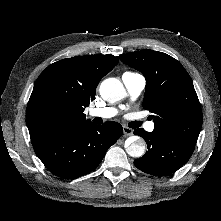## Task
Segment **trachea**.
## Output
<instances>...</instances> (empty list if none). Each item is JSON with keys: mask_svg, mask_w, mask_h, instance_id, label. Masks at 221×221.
Listing matches in <instances>:
<instances>
[{"mask_svg": "<svg viewBox=\"0 0 221 221\" xmlns=\"http://www.w3.org/2000/svg\"><path fill=\"white\" fill-rule=\"evenodd\" d=\"M141 124H142L141 121H133V122L129 123V127H131V128H138V127L141 126Z\"/></svg>", "mask_w": 221, "mask_h": 221, "instance_id": "1", "label": "trachea"}]
</instances>
